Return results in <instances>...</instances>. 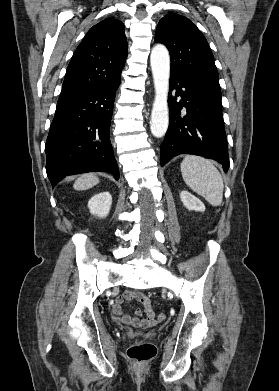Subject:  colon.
<instances>
[{"instance_id":"5ec220e1","label":"colon","mask_w":279,"mask_h":391,"mask_svg":"<svg viewBox=\"0 0 279 391\" xmlns=\"http://www.w3.org/2000/svg\"><path fill=\"white\" fill-rule=\"evenodd\" d=\"M164 314H159L157 320L162 322L165 320ZM156 354V348L148 342H136L127 349L128 357L136 363H144L152 359Z\"/></svg>"}]
</instances>
